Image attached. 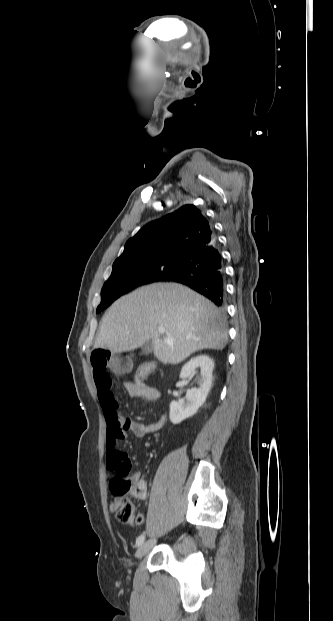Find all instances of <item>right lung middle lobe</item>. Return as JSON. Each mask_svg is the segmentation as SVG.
Masks as SVG:
<instances>
[{
  "label": "right lung middle lobe",
  "instance_id": "right-lung-middle-lobe-1",
  "mask_svg": "<svg viewBox=\"0 0 333 621\" xmlns=\"http://www.w3.org/2000/svg\"><path fill=\"white\" fill-rule=\"evenodd\" d=\"M180 257H159L133 262L114 263L110 278L101 291L99 313L117 298L134 288L158 282L173 274L184 262Z\"/></svg>",
  "mask_w": 333,
  "mask_h": 621
}]
</instances>
